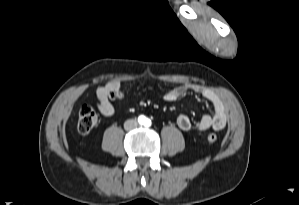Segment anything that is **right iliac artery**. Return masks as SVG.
<instances>
[{
  "label": "right iliac artery",
  "instance_id": "1",
  "mask_svg": "<svg viewBox=\"0 0 299 205\" xmlns=\"http://www.w3.org/2000/svg\"><path fill=\"white\" fill-rule=\"evenodd\" d=\"M138 121L140 123H143L145 121V117L144 116H140L139 119H138Z\"/></svg>",
  "mask_w": 299,
  "mask_h": 205
}]
</instances>
